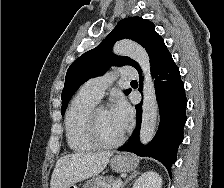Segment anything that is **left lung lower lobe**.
<instances>
[{
	"label": "left lung lower lobe",
	"instance_id": "obj_1",
	"mask_svg": "<svg viewBox=\"0 0 224 188\" xmlns=\"http://www.w3.org/2000/svg\"><path fill=\"white\" fill-rule=\"evenodd\" d=\"M160 111V125L153 140L144 146L139 140L142 118V104L136 108V129L130 140L119 151L135 153L159 160L171 172L176 161L179 144L183 141V128L186 122V105L184 84L181 81L179 68L172 56H168L151 70ZM139 91L143 88V79L139 81Z\"/></svg>",
	"mask_w": 224,
	"mask_h": 188
}]
</instances>
